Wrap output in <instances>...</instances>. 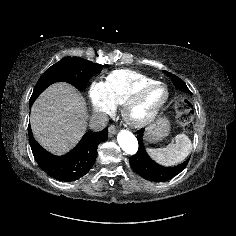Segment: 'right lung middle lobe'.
<instances>
[{"label":"right lung middle lobe","mask_w":236,"mask_h":236,"mask_svg":"<svg viewBox=\"0 0 236 236\" xmlns=\"http://www.w3.org/2000/svg\"><path fill=\"white\" fill-rule=\"evenodd\" d=\"M103 65L92 63L79 57H65L45 71L36 83L30 105L51 84L64 81L84 90L89 79L99 73Z\"/></svg>","instance_id":"dd1d6c3e"}]
</instances>
